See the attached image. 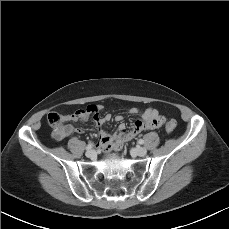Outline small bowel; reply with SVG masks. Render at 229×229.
<instances>
[{
	"mask_svg": "<svg viewBox=\"0 0 229 229\" xmlns=\"http://www.w3.org/2000/svg\"><path fill=\"white\" fill-rule=\"evenodd\" d=\"M152 112H155L157 114L156 110L152 109H147L144 111H140L137 108H131L129 110V113L132 115H138L140 116V119H138L134 126L130 129H126V125L121 123L123 120L122 115H116L114 117V120L120 125L118 126L117 130V135L119 136L118 140H115V137L108 133L105 129L101 128L100 133H99V141H98V146L101 149H106L109 147H112L114 145V142L116 141L117 144H121L125 141H130L134 139L140 132L146 131L151 129V114ZM67 119L72 120V121H82L85 122L89 119V114H87L84 110H77L74 113L70 114L67 116ZM111 120V115L106 114L103 116H99L95 114L93 116V121L96 126L98 127H103L106 123H108ZM72 132H77L81 133L82 129L81 128H74L72 126H69L67 128V133H72Z\"/></svg>",
	"mask_w": 229,
	"mask_h": 229,
	"instance_id": "c3829d8e",
	"label": "small bowel"
}]
</instances>
